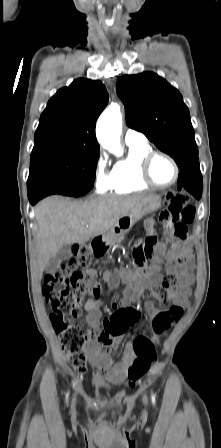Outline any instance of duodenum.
Wrapping results in <instances>:
<instances>
[{
  "instance_id": "410a0bca",
  "label": "duodenum",
  "mask_w": 221,
  "mask_h": 448,
  "mask_svg": "<svg viewBox=\"0 0 221 448\" xmlns=\"http://www.w3.org/2000/svg\"><path fill=\"white\" fill-rule=\"evenodd\" d=\"M109 248V242L104 236H97L91 242V251L95 257H103Z\"/></svg>"
}]
</instances>
